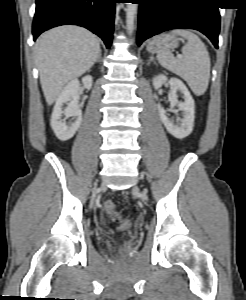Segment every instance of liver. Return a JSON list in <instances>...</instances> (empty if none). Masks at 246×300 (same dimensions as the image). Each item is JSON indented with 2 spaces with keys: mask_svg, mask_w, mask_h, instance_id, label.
Wrapping results in <instances>:
<instances>
[{
  "mask_svg": "<svg viewBox=\"0 0 246 300\" xmlns=\"http://www.w3.org/2000/svg\"><path fill=\"white\" fill-rule=\"evenodd\" d=\"M98 38L82 27L66 25L42 34L35 44V63L48 105L58 98L65 84L80 77L96 62Z\"/></svg>",
  "mask_w": 246,
  "mask_h": 300,
  "instance_id": "obj_1",
  "label": "liver"
}]
</instances>
